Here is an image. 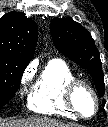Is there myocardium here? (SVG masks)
I'll list each match as a JSON object with an SVG mask.
<instances>
[{
  "label": "myocardium",
  "mask_w": 108,
  "mask_h": 127,
  "mask_svg": "<svg viewBox=\"0 0 108 127\" xmlns=\"http://www.w3.org/2000/svg\"><path fill=\"white\" fill-rule=\"evenodd\" d=\"M80 90L87 91L93 98L94 102V109L93 112L89 115L84 114L77 106L76 104V95ZM65 101L68 108L78 117L89 119L92 118L98 111L99 108V99L97 96L96 91L94 88L87 82L80 80V79H74L71 81L68 86L66 87L65 92Z\"/></svg>",
  "instance_id": "f54148a6"
}]
</instances>
